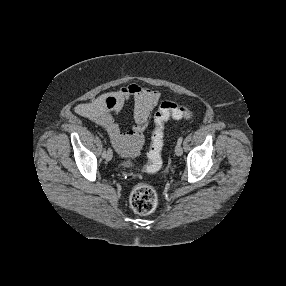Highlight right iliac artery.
<instances>
[{
	"instance_id": "1",
	"label": "right iliac artery",
	"mask_w": 286,
	"mask_h": 286,
	"mask_svg": "<svg viewBox=\"0 0 286 286\" xmlns=\"http://www.w3.org/2000/svg\"><path fill=\"white\" fill-rule=\"evenodd\" d=\"M104 143L106 144V141H105V140H104ZM107 150H108V149H107ZM107 150H106V147H105V148H104V151H103V155H102L103 158H105V156H106V151H107Z\"/></svg>"
}]
</instances>
